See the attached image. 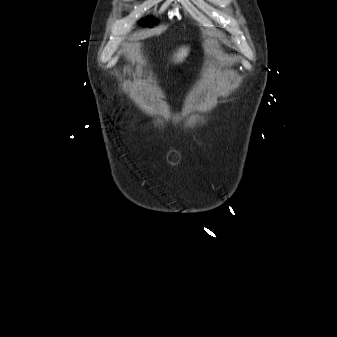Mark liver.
Instances as JSON below:
<instances>
[{
    "mask_svg": "<svg viewBox=\"0 0 337 337\" xmlns=\"http://www.w3.org/2000/svg\"><path fill=\"white\" fill-rule=\"evenodd\" d=\"M189 49L182 47L176 54H174L175 63L183 62V60L188 56Z\"/></svg>",
    "mask_w": 337,
    "mask_h": 337,
    "instance_id": "liver-1",
    "label": "liver"
}]
</instances>
